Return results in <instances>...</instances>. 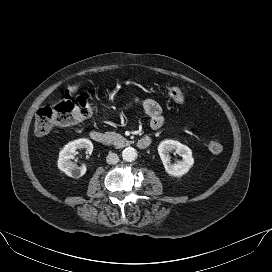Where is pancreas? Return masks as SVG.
<instances>
[{
    "instance_id": "1",
    "label": "pancreas",
    "mask_w": 272,
    "mask_h": 272,
    "mask_svg": "<svg viewBox=\"0 0 272 272\" xmlns=\"http://www.w3.org/2000/svg\"><path fill=\"white\" fill-rule=\"evenodd\" d=\"M107 139L110 144L115 145L117 148L123 147L125 143H128L127 139L121 134L116 132H107Z\"/></svg>"
}]
</instances>
